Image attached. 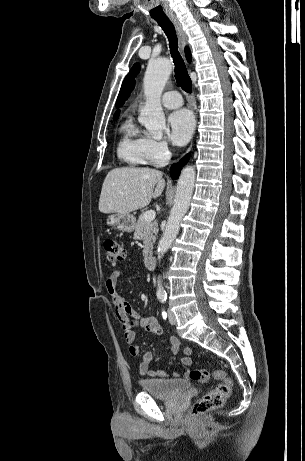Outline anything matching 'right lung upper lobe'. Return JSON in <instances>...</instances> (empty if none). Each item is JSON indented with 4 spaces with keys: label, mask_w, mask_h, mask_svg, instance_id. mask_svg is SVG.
<instances>
[{
    "label": "right lung upper lobe",
    "mask_w": 305,
    "mask_h": 461,
    "mask_svg": "<svg viewBox=\"0 0 305 461\" xmlns=\"http://www.w3.org/2000/svg\"><path fill=\"white\" fill-rule=\"evenodd\" d=\"M185 54H186V58H187L188 62H190L191 61V53H190V51H189V49L187 47L185 48ZM118 116H119V111H117L114 114L113 119L116 120L118 118Z\"/></svg>",
    "instance_id": "obj_1"
}]
</instances>
